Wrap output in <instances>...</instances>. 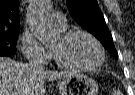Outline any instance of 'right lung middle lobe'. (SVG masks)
Segmentation results:
<instances>
[{
	"mask_svg": "<svg viewBox=\"0 0 135 95\" xmlns=\"http://www.w3.org/2000/svg\"><path fill=\"white\" fill-rule=\"evenodd\" d=\"M19 30L0 32V56H11L16 53V41Z\"/></svg>",
	"mask_w": 135,
	"mask_h": 95,
	"instance_id": "right-lung-middle-lobe-1",
	"label": "right lung middle lobe"
}]
</instances>
